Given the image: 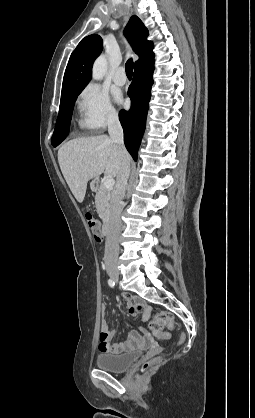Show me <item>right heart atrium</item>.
Returning a JSON list of instances; mask_svg holds the SVG:
<instances>
[{
	"label": "right heart atrium",
	"mask_w": 255,
	"mask_h": 418,
	"mask_svg": "<svg viewBox=\"0 0 255 418\" xmlns=\"http://www.w3.org/2000/svg\"><path fill=\"white\" fill-rule=\"evenodd\" d=\"M79 125L88 131H98L118 119V113L108 93L95 83L86 85L78 98Z\"/></svg>",
	"instance_id": "d8ad5b80"
}]
</instances>
